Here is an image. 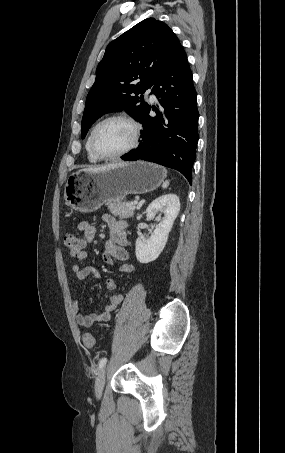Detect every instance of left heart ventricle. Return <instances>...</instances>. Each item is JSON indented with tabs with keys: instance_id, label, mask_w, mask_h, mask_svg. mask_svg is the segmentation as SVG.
<instances>
[{
	"instance_id": "left-heart-ventricle-1",
	"label": "left heart ventricle",
	"mask_w": 285,
	"mask_h": 453,
	"mask_svg": "<svg viewBox=\"0 0 285 453\" xmlns=\"http://www.w3.org/2000/svg\"><path fill=\"white\" fill-rule=\"evenodd\" d=\"M133 139V128L124 120H111L104 123L95 138L97 150L105 155L122 151Z\"/></svg>"
}]
</instances>
